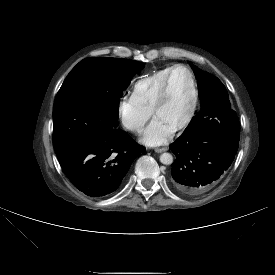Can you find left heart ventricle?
I'll list each match as a JSON object with an SVG mask.
<instances>
[{
	"label": "left heart ventricle",
	"mask_w": 275,
	"mask_h": 275,
	"mask_svg": "<svg viewBox=\"0 0 275 275\" xmlns=\"http://www.w3.org/2000/svg\"><path fill=\"white\" fill-rule=\"evenodd\" d=\"M192 102V88L188 73L177 69L170 80L167 99L155 115L172 128L188 115Z\"/></svg>",
	"instance_id": "obj_1"
}]
</instances>
